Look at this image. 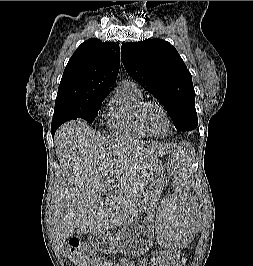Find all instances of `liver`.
I'll list each match as a JSON object with an SVG mask.
<instances>
[{"instance_id":"liver-1","label":"liver","mask_w":253,"mask_h":266,"mask_svg":"<svg viewBox=\"0 0 253 266\" xmlns=\"http://www.w3.org/2000/svg\"><path fill=\"white\" fill-rule=\"evenodd\" d=\"M55 146L61 165L54 201L60 250L75 233H108L130 220L149 172L171 151L164 143L100 138L81 120L60 126Z\"/></svg>"}]
</instances>
